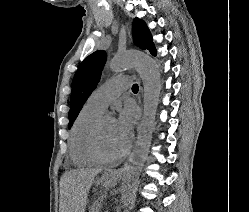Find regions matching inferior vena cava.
Returning <instances> with one entry per match:
<instances>
[{"label": "inferior vena cava", "instance_id": "1", "mask_svg": "<svg viewBox=\"0 0 249 212\" xmlns=\"http://www.w3.org/2000/svg\"><path fill=\"white\" fill-rule=\"evenodd\" d=\"M125 178H127V176H126V172H124V178H123V180H125Z\"/></svg>", "mask_w": 249, "mask_h": 212}]
</instances>
